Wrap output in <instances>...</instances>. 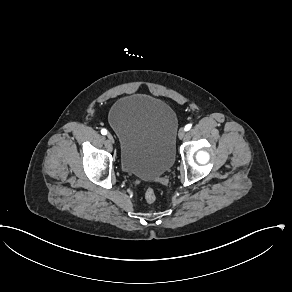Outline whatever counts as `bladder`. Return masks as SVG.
<instances>
[{
  "label": "bladder",
  "mask_w": 292,
  "mask_h": 292,
  "mask_svg": "<svg viewBox=\"0 0 292 292\" xmlns=\"http://www.w3.org/2000/svg\"><path fill=\"white\" fill-rule=\"evenodd\" d=\"M109 124L119 139L125 173L152 180L171 168L178 119L168 103L145 94L122 96L110 110Z\"/></svg>",
  "instance_id": "1"
}]
</instances>
